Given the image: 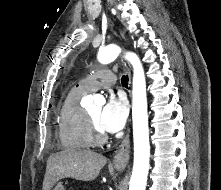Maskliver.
Returning <instances> with one entry per match:
<instances>
[{
  "instance_id": "obj_1",
  "label": "liver",
  "mask_w": 221,
  "mask_h": 190,
  "mask_svg": "<svg viewBox=\"0 0 221 190\" xmlns=\"http://www.w3.org/2000/svg\"><path fill=\"white\" fill-rule=\"evenodd\" d=\"M106 162V157L90 150L65 149L51 154L47 160L42 190H51L64 178L94 180Z\"/></svg>"
}]
</instances>
